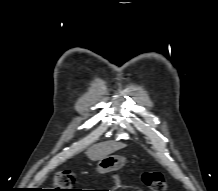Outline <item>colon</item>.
Here are the masks:
<instances>
[{
    "label": "colon",
    "mask_w": 218,
    "mask_h": 191,
    "mask_svg": "<svg viewBox=\"0 0 218 191\" xmlns=\"http://www.w3.org/2000/svg\"><path fill=\"white\" fill-rule=\"evenodd\" d=\"M76 181L75 174L70 170L59 172L55 178V191H79L73 188ZM144 185L150 191H165L166 180L162 173L157 171L145 172L142 175Z\"/></svg>",
    "instance_id": "obj_1"
}]
</instances>
